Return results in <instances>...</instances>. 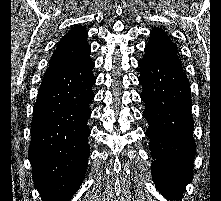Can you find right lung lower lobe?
Listing matches in <instances>:
<instances>
[{"mask_svg": "<svg viewBox=\"0 0 221 201\" xmlns=\"http://www.w3.org/2000/svg\"><path fill=\"white\" fill-rule=\"evenodd\" d=\"M94 62L48 67L33 108L28 158L43 201H69L83 181L90 146Z\"/></svg>", "mask_w": 221, "mask_h": 201, "instance_id": "98d812e1", "label": "right lung lower lobe"}]
</instances>
